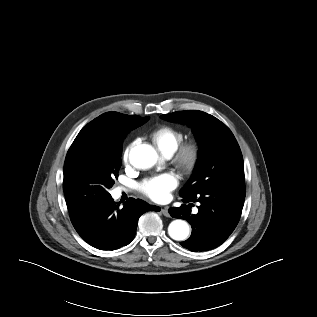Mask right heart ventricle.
Returning <instances> with one entry per match:
<instances>
[{"mask_svg": "<svg viewBox=\"0 0 317 317\" xmlns=\"http://www.w3.org/2000/svg\"><path fill=\"white\" fill-rule=\"evenodd\" d=\"M150 138L156 147L166 156L172 155L183 141V132L168 125L155 128Z\"/></svg>", "mask_w": 317, "mask_h": 317, "instance_id": "1", "label": "right heart ventricle"}]
</instances>
